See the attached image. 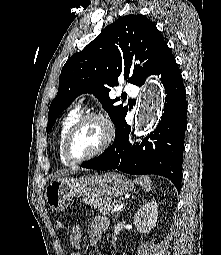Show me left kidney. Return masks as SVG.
Listing matches in <instances>:
<instances>
[{"label":"left kidney","mask_w":221,"mask_h":255,"mask_svg":"<svg viewBox=\"0 0 221 255\" xmlns=\"http://www.w3.org/2000/svg\"><path fill=\"white\" fill-rule=\"evenodd\" d=\"M158 218V205L155 201L145 203L134 215V225L140 233L153 228Z\"/></svg>","instance_id":"left-kidney-1"}]
</instances>
